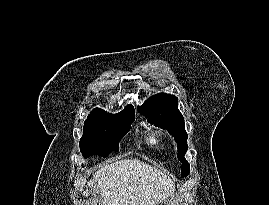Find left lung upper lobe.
Listing matches in <instances>:
<instances>
[{
  "label": "left lung upper lobe",
  "instance_id": "obj_1",
  "mask_svg": "<svg viewBox=\"0 0 269 205\" xmlns=\"http://www.w3.org/2000/svg\"><path fill=\"white\" fill-rule=\"evenodd\" d=\"M138 112L147 116L155 126L168 130L174 137L178 148L177 157L182 163L181 177H186L189 174V163L184 158L187 151V133L184 117L178 110V98L171 94H156L139 106Z\"/></svg>",
  "mask_w": 269,
  "mask_h": 205
}]
</instances>
